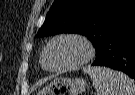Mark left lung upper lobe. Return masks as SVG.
<instances>
[{
    "instance_id": "1",
    "label": "left lung upper lobe",
    "mask_w": 135,
    "mask_h": 95,
    "mask_svg": "<svg viewBox=\"0 0 135 95\" xmlns=\"http://www.w3.org/2000/svg\"><path fill=\"white\" fill-rule=\"evenodd\" d=\"M135 19V0H55L36 37L86 36L97 51L105 38Z\"/></svg>"
}]
</instances>
